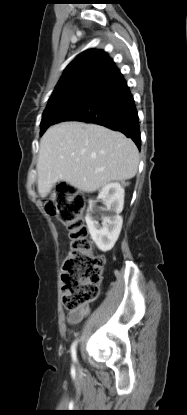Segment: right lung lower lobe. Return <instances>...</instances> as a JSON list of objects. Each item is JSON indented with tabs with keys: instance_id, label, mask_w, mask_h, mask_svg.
I'll return each mask as SVG.
<instances>
[{
	"instance_id": "98d812e1",
	"label": "right lung lower lobe",
	"mask_w": 187,
	"mask_h": 415,
	"mask_svg": "<svg viewBox=\"0 0 187 415\" xmlns=\"http://www.w3.org/2000/svg\"><path fill=\"white\" fill-rule=\"evenodd\" d=\"M64 121L91 122L120 131L141 147L135 102L113 61L79 80L63 98L50 115V125Z\"/></svg>"
}]
</instances>
